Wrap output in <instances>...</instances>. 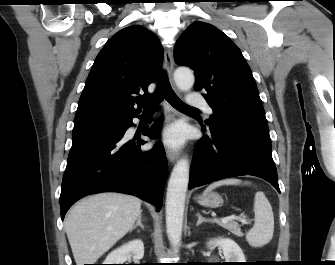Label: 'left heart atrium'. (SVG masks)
I'll list each match as a JSON object with an SVG mask.
<instances>
[{
	"label": "left heart atrium",
	"instance_id": "obj_1",
	"mask_svg": "<svg viewBox=\"0 0 335 265\" xmlns=\"http://www.w3.org/2000/svg\"><path fill=\"white\" fill-rule=\"evenodd\" d=\"M185 139V130L181 125H174L168 128L163 134V140L166 144L177 147Z\"/></svg>",
	"mask_w": 335,
	"mask_h": 265
}]
</instances>
